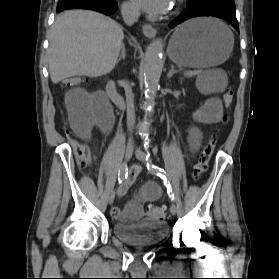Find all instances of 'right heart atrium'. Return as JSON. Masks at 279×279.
Wrapping results in <instances>:
<instances>
[{
  "instance_id": "d8ad5b80",
  "label": "right heart atrium",
  "mask_w": 279,
  "mask_h": 279,
  "mask_svg": "<svg viewBox=\"0 0 279 279\" xmlns=\"http://www.w3.org/2000/svg\"><path fill=\"white\" fill-rule=\"evenodd\" d=\"M123 11L128 16H133L136 13V8L132 3L126 2L122 6Z\"/></svg>"
}]
</instances>
